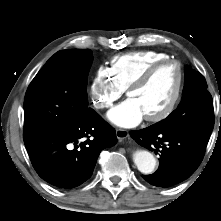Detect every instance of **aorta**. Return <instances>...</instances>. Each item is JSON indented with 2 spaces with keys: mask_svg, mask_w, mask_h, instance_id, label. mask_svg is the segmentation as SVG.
I'll list each match as a JSON object with an SVG mask.
<instances>
[{
  "mask_svg": "<svg viewBox=\"0 0 221 221\" xmlns=\"http://www.w3.org/2000/svg\"><path fill=\"white\" fill-rule=\"evenodd\" d=\"M133 161L143 174H151L156 167V158L146 150H138L133 154Z\"/></svg>",
  "mask_w": 221,
  "mask_h": 221,
  "instance_id": "762f6f07",
  "label": "aorta"
}]
</instances>
